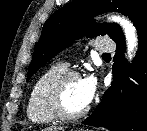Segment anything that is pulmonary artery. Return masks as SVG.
Instances as JSON below:
<instances>
[{
	"label": "pulmonary artery",
	"instance_id": "1",
	"mask_svg": "<svg viewBox=\"0 0 147 131\" xmlns=\"http://www.w3.org/2000/svg\"><path fill=\"white\" fill-rule=\"evenodd\" d=\"M115 49V45L111 41L100 40L96 43V50L100 53L111 52Z\"/></svg>",
	"mask_w": 147,
	"mask_h": 131
}]
</instances>
